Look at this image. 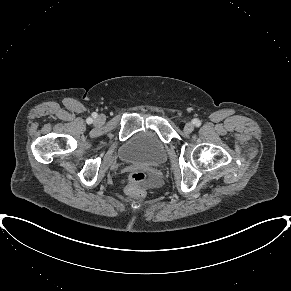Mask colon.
I'll use <instances>...</instances> for the list:
<instances>
[{
  "label": "colon",
  "mask_w": 291,
  "mask_h": 291,
  "mask_svg": "<svg viewBox=\"0 0 291 291\" xmlns=\"http://www.w3.org/2000/svg\"><path fill=\"white\" fill-rule=\"evenodd\" d=\"M147 175L142 171H133L129 174L126 191L135 198H142L145 195L143 185Z\"/></svg>",
  "instance_id": "1"
}]
</instances>
